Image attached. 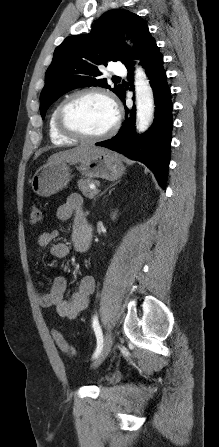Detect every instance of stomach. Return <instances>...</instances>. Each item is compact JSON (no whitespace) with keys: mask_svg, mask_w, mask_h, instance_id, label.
I'll list each match as a JSON object with an SVG mask.
<instances>
[{"mask_svg":"<svg viewBox=\"0 0 219 447\" xmlns=\"http://www.w3.org/2000/svg\"><path fill=\"white\" fill-rule=\"evenodd\" d=\"M77 169L85 177L103 178L109 181L119 179L125 170L122 158L117 153L103 149L102 152ZM70 167L67 163H47L40 167L30 183L32 190L40 196L48 197L65 188L70 181Z\"/></svg>","mask_w":219,"mask_h":447,"instance_id":"obj_1","label":"stomach"}]
</instances>
